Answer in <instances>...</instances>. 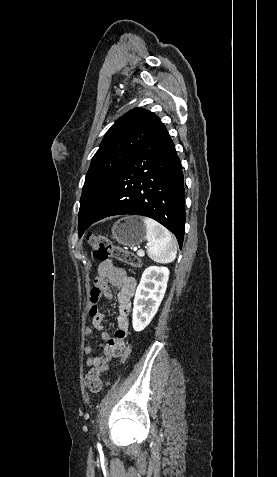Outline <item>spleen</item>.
Instances as JSON below:
<instances>
[{
  "label": "spleen",
  "instance_id": "3e777b00",
  "mask_svg": "<svg viewBox=\"0 0 277 477\" xmlns=\"http://www.w3.org/2000/svg\"><path fill=\"white\" fill-rule=\"evenodd\" d=\"M148 241L147 255L158 263H170L175 260L177 245L169 230L151 218H143Z\"/></svg>",
  "mask_w": 277,
  "mask_h": 477
}]
</instances>
